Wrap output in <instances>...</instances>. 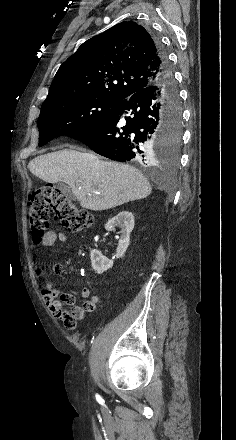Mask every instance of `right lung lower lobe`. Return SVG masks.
Here are the masks:
<instances>
[{
    "label": "right lung lower lobe",
    "mask_w": 236,
    "mask_h": 440,
    "mask_svg": "<svg viewBox=\"0 0 236 440\" xmlns=\"http://www.w3.org/2000/svg\"><path fill=\"white\" fill-rule=\"evenodd\" d=\"M161 63L159 78L120 102L104 121L70 137L81 141L96 153L116 161L150 164L152 155L147 146H158L165 129L182 122L178 91L175 87L167 55L156 38ZM177 94L178 98H174Z\"/></svg>",
    "instance_id": "obj_1"
}]
</instances>
